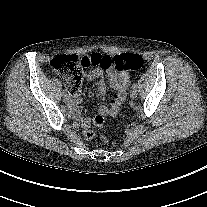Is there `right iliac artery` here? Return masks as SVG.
<instances>
[{"label":"right iliac artery","instance_id":"1","mask_svg":"<svg viewBox=\"0 0 207 207\" xmlns=\"http://www.w3.org/2000/svg\"><path fill=\"white\" fill-rule=\"evenodd\" d=\"M63 96L65 97V96H67V94L63 92Z\"/></svg>","mask_w":207,"mask_h":207}]
</instances>
